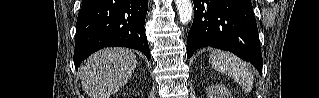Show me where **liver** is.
Returning <instances> with one entry per match:
<instances>
[{
  "label": "liver",
  "instance_id": "1",
  "mask_svg": "<svg viewBox=\"0 0 319 98\" xmlns=\"http://www.w3.org/2000/svg\"><path fill=\"white\" fill-rule=\"evenodd\" d=\"M136 64L132 50H100L90 56L80 70L82 87L89 98H110L128 82Z\"/></svg>",
  "mask_w": 319,
  "mask_h": 98
}]
</instances>
